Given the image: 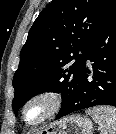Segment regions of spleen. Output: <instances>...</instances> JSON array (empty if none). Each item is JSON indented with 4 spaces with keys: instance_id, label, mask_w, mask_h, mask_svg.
<instances>
[{
    "instance_id": "obj_1",
    "label": "spleen",
    "mask_w": 116,
    "mask_h": 134,
    "mask_svg": "<svg viewBox=\"0 0 116 134\" xmlns=\"http://www.w3.org/2000/svg\"><path fill=\"white\" fill-rule=\"evenodd\" d=\"M86 112L99 125L101 134H116V108L99 106Z\"/></svg>"
}]
</instances>
